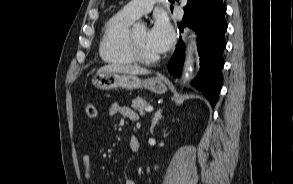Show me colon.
<instances>
[{
    "label": "colon",
    "mask_w": 293,
    "mask_h": 184,
    "mask_svg": "<svg viewBox=\"0 0 293 184\" xmlns=\"http://www.w3.org/2000/svg\"><path fill=\"white\" fill-rule=\"evenodd\" d=\"M86 115L89 119H94L97 115V108L93 102L86 105Z\"/></svg>",
    "instance_id": "5ec220e1"
}]
</instances>
